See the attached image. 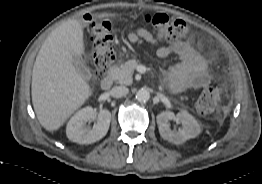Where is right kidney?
<instances>
[{"mask_svg": "<svg viewBox=\"0 0 262 184\" xmlns=\"http://www.w3.org/2000/svg\"><path fill=\"white\" fill-rule=\"evenodd\" d=\"M93 120H96V124L92 128L86 125ZM110 121L111 113L108 110L97 112L92 107H85L71 117L66 127V135L73 142L91 144L106 135Z\"/></svg>", "mask_w": 262, "mask_h": 184, "instance_id": "right-kidney-1", "label": "right kidney"}]
</instances>
